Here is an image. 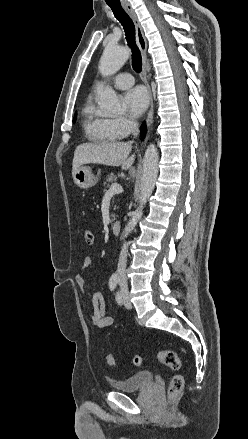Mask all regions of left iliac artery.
<instances>
[{
    "mask_svg": "<svg viewBox=\"0 0 248 439\" xmlns=\"http://www.w3.org/2000/svg\"><path fill=\"white\" fill-rule=\"evenodd\" d=\"M116 300L118 301V303L121 302V298H120L119 294L116 295Z\"/></svg>",
    "mask_w": 248,
    "mask_h": 439,
    "instance_id": "left-iliac-artery-1",
    "label": "left iliac artery"
}]
</instances>
